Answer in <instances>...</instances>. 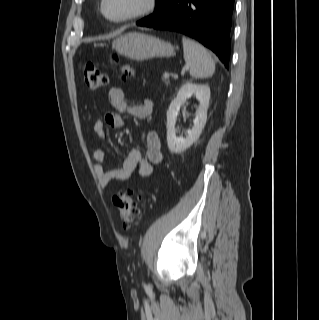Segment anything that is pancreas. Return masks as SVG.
Wrapping results in <instances>:
<instances>
[{
    "instance_id": "obj_1",
    "label": "pancreas",
    "mask_w": 319,
    "mask_h": 320,
    "mask_svg": "<svg viewBox=\"0 0 319 320\" xmlns=\"http://www.w3.org/2000/svg\"><path fill=\"white\" fill-rule=\"evenodd\" d=\"M163 82L165 83V85H168V84H169L168 79L164 78V76H163Z\"/></svg>"
}]
</instances>
